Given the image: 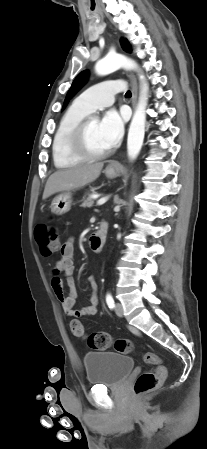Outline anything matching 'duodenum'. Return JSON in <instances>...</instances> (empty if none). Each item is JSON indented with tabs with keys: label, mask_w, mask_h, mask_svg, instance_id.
Returning a JSON list of instances; mask_svg holds the SVG:
<instances>
[{
	"label": "duodenum",
	"mask_w": 207,
	"mask_h": 449,
	"mask_svg": "<svg viewBox=\"0 0 207 449\" xmlns=\"http://www.w3.org/2000/svg\"><path fill=\"white\" fill-rule=\"evenodd\" d=\"M107 237V224L101 222L98 229L90 236V245L95 252H101L105 246Z\"/></svg>",
	"instance_id": "1"
}]
</instances>
